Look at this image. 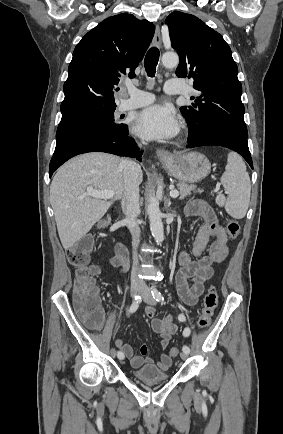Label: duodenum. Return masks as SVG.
Instances as JSON below:
<instances>
[{
	"instance_id": "obj_1",
	"label": "duodenum",
	"mask_w": 283,
	"mask_h": 434,
	"mask_svg": "<svg viewBox=\"0 0 283 434\" xmlns=\"http://www.w3.org/2000/svg\"><path fill=\"white\" fill-rule=\"evenodd\" d=\"M116 227H117L118 229H120V221H117V222H116ZM121 234H123V233L121 232ZM119 246L121 247V249H122L123 252H126V253H127V250H126V248H125L124 245H119ZM127 254H128V253H127Z\"/></svg>"
}]
</instances>
